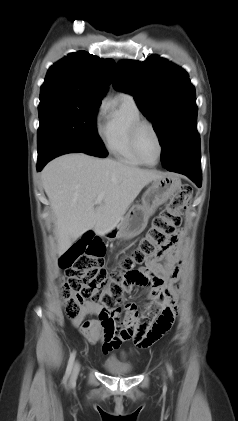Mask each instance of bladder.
Listing matches in <instances>:
<instances>
[{"label":"bladder","mask_w":238,"mask_h":421,"mask_svg":"<svg viewBox=\"0 0 238 421\" xmlns=\"http://www.w3.org/2000/svg\"><path fill=\"white\" fill-rule=\"evenodd\" d=\"M103 367L108 373L117 376L129 375L133 371V367L131 365L122 364L114 360H106Z\"/></svg>","instance_id":"bladder-1"}]
</instances>
